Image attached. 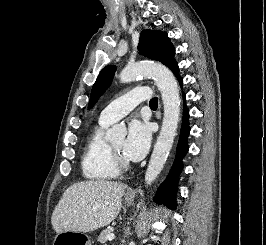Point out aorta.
Listing matches in <instances>:
<instances>
[{
	"label": "aorta",
	"mask_w": 266,
	"mask_h": 245,
	"mask_svg": "<svg viewBox=\"0 0 266 245\" xmlns=\"http://www.w3.org/2000/svg\"><path fill=\"white\" fill-rule=\"evenodd\" d=\"M140 74H148V76L154 78L155 84L161 92L164 106L160 135L155 143L154 151L145 173V185H151L160 175L177 135L181 100L179 86L173 72L164 64H159V62H151L146 68L141 66V64H136V62L135 64H128L121 70L119 78L121 82H131ZM126 135L125 125H113L112 129L107 131L106 139L108 141H113L116 137L124 139Z\"/></svg>",
	"instance_id": "obj_1"
}]
</instances>
